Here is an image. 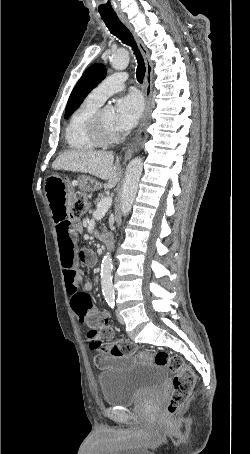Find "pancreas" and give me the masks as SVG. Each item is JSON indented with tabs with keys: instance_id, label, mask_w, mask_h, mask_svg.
Masks as SVG:
<instances>
[{
	"instance_id": "cf45deb5",
	"label": "pancreas",
	"mask_w": 250,
	"mask_h": 454,
	"mask_svg": "<svg viewBox=\"0 0 250 454\" xmlns=\"http://www.w3.org/2000/svg\"><path fill=\"white\" fill-rule=\"evenodd\" d=\"M103 198H105L104 194H99L98 198L95 200V204H98Z\"/></svg>"
}]
</instances>
